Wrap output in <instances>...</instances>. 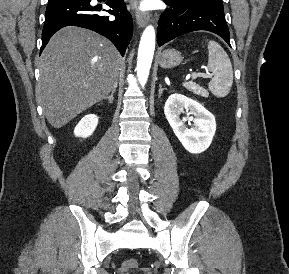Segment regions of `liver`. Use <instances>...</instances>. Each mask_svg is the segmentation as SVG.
<instances>
[{
	"mask_svg": "<svg viewBox=\"0 0 289 274\" xmlns=\"http://www.w3.org/2000/svg\"><path fill=\"white\" fill-rule=\"evenodd\" d=\"M121 55L95 32L65 27L55 33L40 58L36 96L48 122L61 128L103 100L117 85Z\"/></svg>",
	"mask_w": 289,
	"mask_h": 274,
	"instance_id": "liver-1",
	"label": "liver"
}]
</instances>
